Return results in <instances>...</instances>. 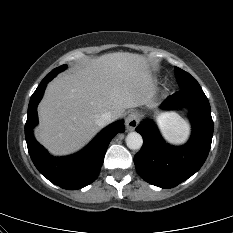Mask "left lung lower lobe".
Returning a JSON list of instances; mask_svg holds the SVG:
<instances>
[{"mask_svg": "<svg viewBox=\"0 0 233 233\" xmlns=\"http://www.w3.org/2000/svg\"><path fill=\"white\" fill-rule=\"evenodd\" d=\"M188 108L193 131L189 142L181 147L167 144L156 125L141 122L136 131L143 146L135 155L137 173L146 182L173 188L196 173L205 162L212 142L213 120L210 104L202 89H181L161 105L163 109Z\"/></svg>", "mask_w": 233, "mask_h": 233, "instance_id": "obj_1", "label": "left lung lower lobe"}]
</instances>
